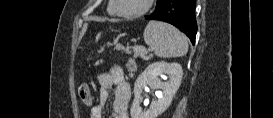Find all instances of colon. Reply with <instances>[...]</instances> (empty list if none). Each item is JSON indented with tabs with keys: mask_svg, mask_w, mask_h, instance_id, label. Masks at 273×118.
Instances as JSON below:
<instances>
[{
	"mask_svg": "<svg viewBox=\"0 0 273 118\" xmlns=\"http://www.w3.org/2000/svg\"><path fill=\"white\" fill-rule=\"evenodd\" d=\"M79 96L81 98V100L88 102L90 99V94H89V89L87 86L82 85L79 88Z\"/></svg>",
	"mask_w": 273,
	"mask_h": 118,
	"instance_id": "obj_1",
	"label": "colon"
}]
</instances>
